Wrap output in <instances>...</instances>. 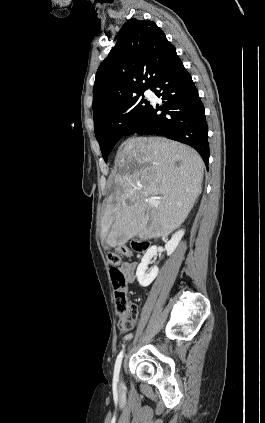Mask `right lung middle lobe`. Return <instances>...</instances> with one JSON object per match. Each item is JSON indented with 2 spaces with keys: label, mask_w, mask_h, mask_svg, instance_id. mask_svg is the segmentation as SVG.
<instances>
[{
  "label": "right lung middle lobe",
  "mask_w": 265,
  "mask_h": 423,
  "mask_svg": "<svg viewBox=\"0 0 265 423\" xmlns=\"http://www.w3.org/2000/svg\"><path fill=\"white\" fill-rule=\"evenodd\" d=\"M143 92L123 100L94 122L95 136L105 162L118 140L125 136L150 107L149 101L144 97L140 98Z\"/></svg>",
  "instance_id": "right-lung-middle-lobe-1"
}]
</instances>
